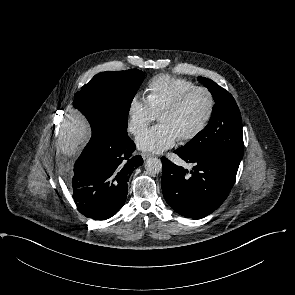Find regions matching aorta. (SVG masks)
<instances>
[{
  "instance_id": "aorta-1",
  "label": "aorta",
  "mask_w": 295,
  "mask_h": 295,
  "mask_svg": "<svg viewBox=\"0 0 295 295\" xmlns=\"http://www.w3.org/2000/svg\"><path fill=\"white\" fill-rule=\"evenodd\" d=\"M145 169L149 174H158L162 170L161 160L158 158H149L145 162Z\"/></svg>"
}]
</instances>
